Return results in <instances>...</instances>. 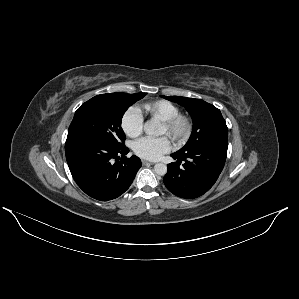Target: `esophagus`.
<instances>
[{"instance_id":"obj_1","label":"esophagus","mask_w":299,"mask_h":299,"mask_svg":"<svg viewBox=\"0 0 299 299\" xmlns=\"http://www.w3.org/2000/svg\"><path fill=\"white\" fill-rule=\"evenodd\" d=\"M142 164L143 165H153L154 162H150V161H147V160H142Z\"/></svg>"}]
</instances>
